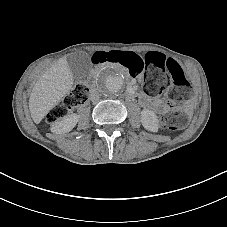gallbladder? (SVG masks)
<instances>
[{
	"mask_svg": "<svg viewBox=\"0 0 227 227\" xmlns=\"http://www.w3.org/2000/svg\"><path fill=\"white\" fill-rule=\"evenodd\" d=\"M67 62L75 79L86 77L92 69L90 56L86 52L70 54Z\"/></svg>",
	"mask_w": 227,
	"mask_h": 227,
	"instance_id": "bac80fb5",
	"label": "gallbladder"
}]
</instances>
